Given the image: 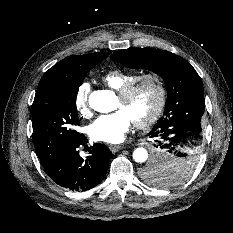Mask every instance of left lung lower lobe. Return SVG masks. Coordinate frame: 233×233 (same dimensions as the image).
<instances>
[{"label":"left lung lower lobe","mask_w":233,"mask_h":233,"mask_svg":"<svg viewBox=\"0 0 233 233\" xmlns=\"http://www.w3.org/2000/svg\"><path fill=\"white\" fill-rule=\"evenodd\" d=\"M201 120L197 117H179L154 125L148 134L157 148L151 163L165 164L174 157L202 152Z\"/></svg>","instance_id":"1"}]
</instances>
